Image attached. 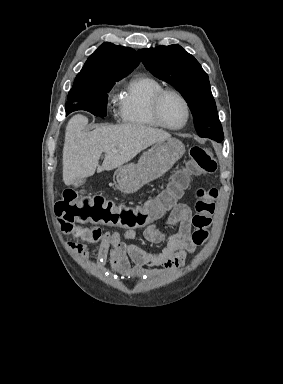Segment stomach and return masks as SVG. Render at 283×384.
<instances>
[{"instance_id":"obj_1","label":"stomach","mask_w":283,"mask_h":384,"mask_svg":"<svg viewBox=\"0 0 283 384\" xmlns=\"http://www.w3.org/2000/svg\"><path fill=\"white\" fill-rule=\"evenodd\" d=\"M184 152V144L175 138L156 142L150 150L143 152L137 164L120 166L114 174V184L123 194H134L145 184L166 174Z\"/></svg>"}]
</instances>
